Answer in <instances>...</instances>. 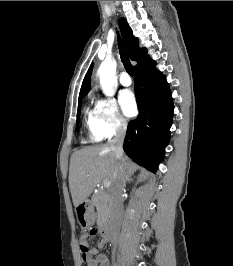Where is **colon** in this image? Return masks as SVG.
<instances>
[{
	"label": "colon",
	"mask_w": 233,
	"mask_h": 266,
	"mask_svg": "<svg viewBox=\"0 0 233 266\" xmlns=\"http://www.w3.org/2000/svg\"><path fill=\"white\" fill-rule=\"evenodd\" d=\"M98 231L95 228H92L89 230V232L85 233L82 236V243H81V252H82V257L83 258H87L88 257V252H89V247L87 245V241L93 237H95L97 235Z\"/></svg>",
	"instance_id": "colon-1"
}]
</instances>
